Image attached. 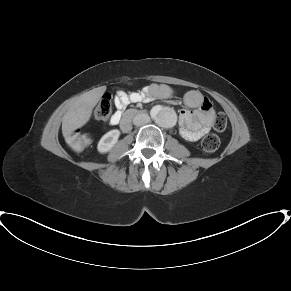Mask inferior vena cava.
<instances>
[{
    "label": "inferior vena cava",
    "instance_id": "inferior-vena-cava-1",
    "mask_svg": "<svg viewBox=\"0 0 291 291\" xmlns=\"http://www.w3.org/2000/svg\"><path fill=\"white\" fill-rule=\"evenodd\" d=\"M150 122V117L148 114L140 113L137 114L133 119V124L136 126H143Z\"/></svg>",
    "mask_w": 291,
    "mask_h": 291
}]
</instances>
